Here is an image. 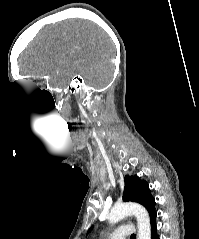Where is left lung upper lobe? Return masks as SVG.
I'll return each mask as SVG.
<instances>
[{"label":"left lung upper lobe","instance_id":"5c2ea615","mask_svg":"<svg viewBox=\"0 0 199 239\" xmlns=\"http://www.w3.org/2000/svg\"><path fill=\"white\" fill-rule=\"evenodd\" d=\"M125 188L123 193L124 201L137 202L143 205L149 212V216L155 213V199L152 197L148 183L140 180L138 176L124 178ZM92 228H90L91 230Z\"/></svg>","mask_w":199,"mask_h":239}]
</instances>
